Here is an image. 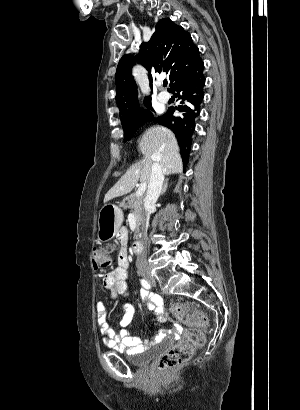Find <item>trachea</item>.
<instances>
[{"mask_svg": "<svg viewBox=\"0 0 300 410\" xmlns=\"http://www.w3.org/2000/svg\"><path fill=\"white\" fill-rule=\"evenodd\" d=\"M163 84H164V86H167L168 83H167V81H164Z\"/></svg>", "mask_w": 300, "mask_h": 410, "instance_id": "obj_1", "label": "trachea"}]
</instances>
